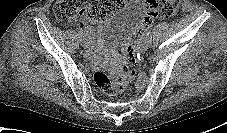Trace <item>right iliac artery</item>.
Listing matches in <instances>:
<instances>
[{
    "instance_id": "1",
    "label": "right iliac artery",
    "mask_w": 227,
    "mask_h": 133,
    "mask_svg": "<svg viewBox=\"0 0 227 133\" xmlns=\"http://www.w3.org/2000/svg\"><path fill=\"white\" fill-rule=\"evenodd\" d=\"M79 31H78V33H79V36L82 38V37H84V32L81 30V29H78Z\"/></svg>"
}]
</instances>
